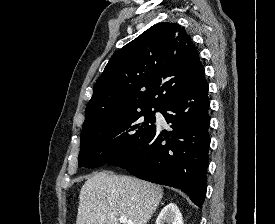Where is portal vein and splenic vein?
Returning a JSON list of instances; mask_svg holds the SVG:
<instances>
[{
	"label": "portal vein and splenic vein",
	"instance_id": "1",
	"mask_svg": "<svg viewBox=\"0 0 275 224\" xmlns=\"http://www.w3.org/2000/svg\"><path fill=\"white\" fill-rule=\"evenodd\" d=\"M119 221H120V223H123V224H126V223L127 224H134L132 221L128 220L127 217H124V216L120 217Z\"/></svg>",
	"mask_w": 275,
	"mask_h": 224
}]
</instances>
